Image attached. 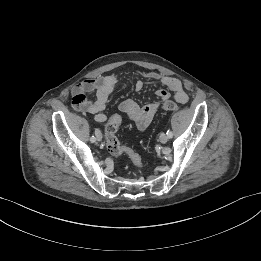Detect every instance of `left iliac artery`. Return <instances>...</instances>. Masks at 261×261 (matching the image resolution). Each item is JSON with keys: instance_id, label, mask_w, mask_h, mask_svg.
<instances>
[{"instance_id": "left-iliac-artery-1", "label": "left iliac artery", "mask_w": 261, "mask_h": 261, "mask_svg": "<svg viewBox=\"0 0 261 261\" xmlns=\"http://www.w3.org/2000/svg\"><path fill=\"white\" fill-rule=\"evenodd\" d=\"M167 136H168L169 138H172V137H173V133H172L171 130H167Z\"/></svg>"}]
</instances>
